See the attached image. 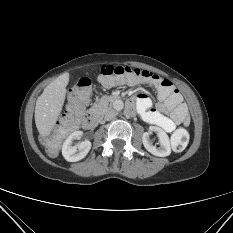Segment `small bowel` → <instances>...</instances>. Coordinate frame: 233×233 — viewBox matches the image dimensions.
<instances>
[{
  "mask_svg": "<svg viewBox=\"0 0 233 233\" xmlns=\"http://www.w3.org/2000/svg\"><path fill=\"white\" fill-rule=\"evenodd\" d=\"M137 110L146 122L156 125L168 133L173 132L179 123L172 117V106L163 99H160L156 107H152L150 98L146 94H139L137 96ZM188 123L189 120L183 124Z\"/></svg>",
  "mask_w": 233,
  "mask_h": 233,
  "instance_id": "1",
  "label": "small bowel"
}]
</instances>
